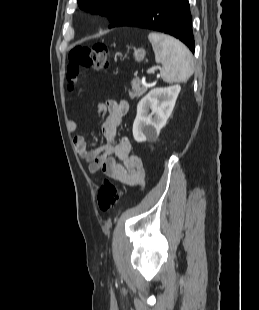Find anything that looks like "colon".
I'll return each mask as SVG.
<instances>
[{"instance_id":"5ec220e1","label":"colon","mask_w":259,"mask_h":310,"mask_svg":"<svg viewBox=\"0 0 259 310\" xmlns=\"http://www.w3.org/2000/svg\"><path fill=\"white\" fill-rule=\"evenodd\" d=\"M110 54L109 47L103 43L74 48L69 54L68 80L70 88H74L81 82V68L107 69ZM121 194L122 192L113 182L105 179L97 194L99 209L101 211L110 210L119 201Z\"/></svg>"}]
</instances>
